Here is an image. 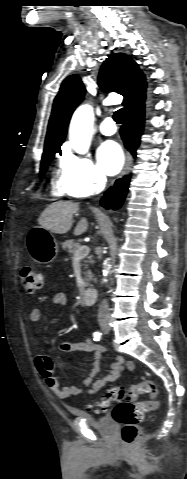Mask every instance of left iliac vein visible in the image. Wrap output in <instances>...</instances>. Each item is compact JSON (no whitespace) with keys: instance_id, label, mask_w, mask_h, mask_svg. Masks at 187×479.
<instances>
[{"instance_id":"4c4485c4","label":"left iliac vein","mask_w":187,"mask_h":479,"mask_svg":"<svg viewBox=\"0 0 187 479\" xmlns=\"http://www.w3.org/2000/svg\"><path fill=\"white\" fill-rule=\"evenodd\" d=\"M104 332H105V334H108L109 333V327Z\"/></svg>"}]
</instances>
